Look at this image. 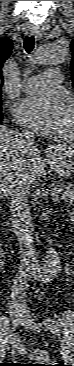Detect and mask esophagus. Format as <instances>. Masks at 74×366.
<instances>
[{
	"mask_svg": "<svg viewBox=\"0 0 74 366\" xmlns=\"http://www.w3.org/2000/svg\"><path fill=\"white\" fill-rule=\"evenodd\" d=\"M29 34L33 35L36 39L41 38V33L37 28H29Z\"/></svg>",
	"mask_w": 74,
	"mask_h": 366,
	"instance_id": "1",
	"label": "esophagus"
}]
</instances>
